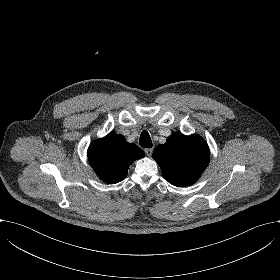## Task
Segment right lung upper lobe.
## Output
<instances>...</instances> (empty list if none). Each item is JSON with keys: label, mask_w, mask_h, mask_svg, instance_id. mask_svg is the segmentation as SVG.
I'll return each mask as SVG.
<instances>
[{"label": "right lung upper lobe", "mask_w": 280, "mask_h": 280, "mask_svg": "<svg viewBox=\"0 0 280 280\" xmlns=\"http://www.w3.org/2000/svg\"><path fill=\"white\" fill-rule=\"evenodd\" d=\"M87 154L96 174L109 184L125 179L130 164L144 157V151L114 132L94 141L89 146Z\"/></svg>", "instance_id": "right-lung-upper-lobe-1"}]
</instances>
